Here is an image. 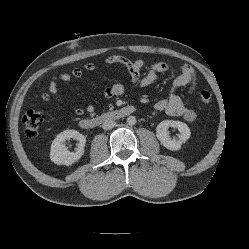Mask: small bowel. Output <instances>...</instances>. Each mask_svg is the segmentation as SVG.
<instances>
[{
	"instance_id": "c3829d8e",
	"label": "small bowel",
	"mask_w": 249,
	"mask_h": 249,
	"mask_svg": "<svg viewBox=\"0 0 249 249\" xmlns=\"http://www.w3.org/2000/svg\"><path fill=\"white\" fill-rule=\"evenodd\" d=\"M107 65H122L131 75L132 81L137 83L140 87L145 88L153 84L159 73H163L168 70V65L163 62L149 63L147 73L141 77V72L146 66L144 60H130L126 57L113 55L105 59ZM97 68L95 63L88 62L83 68H74L70 73L62 72L54 76L49 84L48 92L43 93V100L51 103L52 100L57 103H63L64 98L58 90V81L70 83L74 79H81L84 72H92ZM183 86H188V94L194 95L197 91V77L195 70L189 66L184 65L179 69V75L173 80L170 87L169 96L166 99H159L154 103V108L157 111H163L170 116L182 117L187 122H193L196 118L194 110L189 108L183 100L176 94V91ZM124 92V85L121 83H115L104 90V98L110 99L114 96H119ZM93 111L94 106L89 105L86 109L76 107L73 109L76 115H81L84 111Z\"/></svg>"
}]
</instances>
